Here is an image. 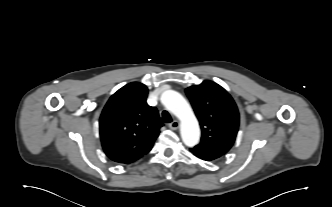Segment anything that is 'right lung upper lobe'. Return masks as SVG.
<instances>
[{
	"label": "right lung upper lobe",
	"mask_w": 332,
	"mask_h": 207,
	"mask_svg": "<svg viewBox=\"0 0 332 207\" xmlns=\"http://www.w3.org/2000/svg\"><path fill=\"white\" fill-rule=\"evenodd\" d=\"M148 89L132 82L114 93L100 116V138L106 155L130 164L147 154L163 123L158 111L146 103Z\"/></svg>",
	"instance_id": "cb5924a9"
}]
</instances>
